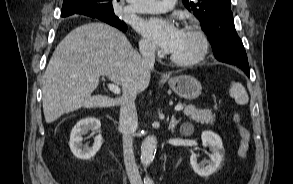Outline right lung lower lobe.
Instances as JSON below:
<instances>
[{
	"label": "right lung lower lobe",
	"mask_w": 293,
	"mask_h": 184,
	"mask_svg": "<svg viewBox=\"0 0 293 184\" xmlns=\"http://www.w3.org/2000/svg\"><path fill=\"white\" fill-rule=\"evenodd\" d=\"M93 18H98L101 21H104V22H106V23H108V24H110L112 26H115V27L119 28L123 32H126V30H127L126 24L123 21H121V20H119V21H113V20H108L106 18H102V17H93Z\"/></svg>",
	"instance_id": "obj_1"
}]
</instances>
